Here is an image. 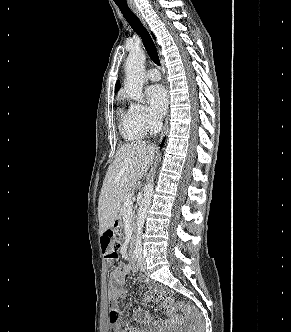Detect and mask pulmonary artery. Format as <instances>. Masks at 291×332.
Here are the masks:
<instances>
[{
	"label": "pulmonary artery",
	"mask_w": 291,
	"mask_h": 332,
	"mask_svg": "<svg viewBox=\"0 0 291 332\" xmlns=\"http://www.w3.org/2000/svg\"><path fill=\"white\" fill-rule=\"evenodd\" d=\"M146 76L151 81H159L161 78L159 71L155 68L149 69L146 73Z\"/></svg>",
	"instance_id": "e3ab8cb5"
}]
</instances>
